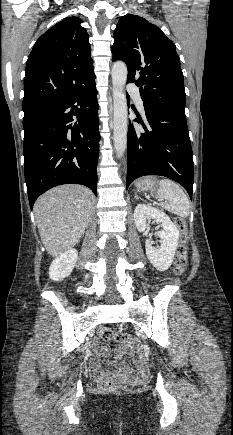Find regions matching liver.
I'll use <instances>...</instances> for the list:
<instances>
[{
    "label": "liver",
    "instance_id": "1",
    "mask_svg": "<svg viewBox=\"0 0 233 435\" xmlns=\"http://www.w3.org/2000/svg\"><path fill=\"white\" fill-rule=\"evenodd\" d=\"M93 209L94 195L81 185H62L41 195L34 214L47 253L55 257L72 249L83 236Z\"/></svg>",
    "mask_w": 233,
    "mask_h": 435
}]
</instances>
